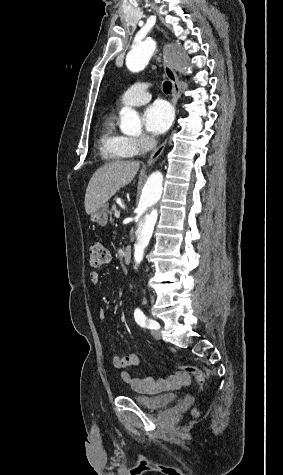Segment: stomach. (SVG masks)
<instances>
[{"instance_id": "obj_1", "label": "stomach", "mask_w": 283, "mask_h": 475, "mask_svg": "<svg viewBox=\"0 0 283 475\" xmlns=\"http://www.w3.org/2000/svg\"><path fill=\"white\" fill-rule=\"evenodd\" d=\"M91 222H96L99 226H106L108 222V204H103L101 208H98L97 212L90 214Z\"/></svg>"}]
</instances>
